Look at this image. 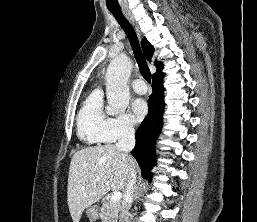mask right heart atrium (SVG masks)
Here are the masks:
<instances>
[{"label":"right heart atrium","instance_id":"1","mask_svg":"<svg viewBox=\"0 0 257 222\" xmlns=\"http://www.w3.org/2000/svg\"><path fill=\"white\" fill-rule=\"evenodd\" d=\"M133 134V121L128 115H123L118 118H109L104 129L105 140L109 143L127 139Z\"/></svg>","mask_w":257,"mask_h":222}]
</instances>
